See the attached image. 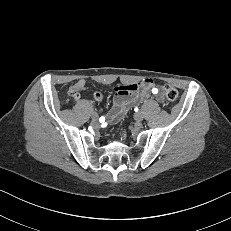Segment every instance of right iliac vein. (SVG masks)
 I'll use <instances>...</instances> for the list:
<instances>
[{
	"instance_id": "obj_1",
	"label": "right iliac vein",
	"mask_w": 231,
	"mask_h": 231,
	"mask_svg": "<svg viewBox=\"0 0 231 231\" xmlns=\"http://www.w3.org/2000/svg\"><path fill=\"white\" fill-rule=\"evenodd\" d=\"M91 118L93 123H97L99 120L98 114L95 112L92 113Z\"/></svg>"
}]
</instances>
